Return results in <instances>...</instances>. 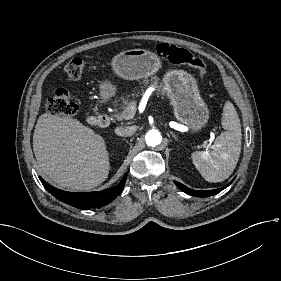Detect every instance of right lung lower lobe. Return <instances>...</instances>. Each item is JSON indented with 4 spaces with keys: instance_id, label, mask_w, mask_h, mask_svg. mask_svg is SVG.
<instances>
[{
    "instance_id": "right-lung-lower-lobe-1",
    "label": "right lung lower lobe",
    "mask_w": 281,
    "mask_h": 281,
    "mask_svg": "<svg viewBox=\"0 0 281 281\" xmlns=\"http://www.w3.org/2000/svg\"><path fill=\"white\" fill-rule=\"evenodd\" d=\"M40 180L45 189L60 201L79 209L89 210L91 208H98L107 205L113 199H115L116 196H118L123 190L126 181V175H124L123 179L118 185L112 188L98 192L84 193L62 191L51 186L50 184L45 182L41 177Z\"/></svg>"
}]
</instances>
